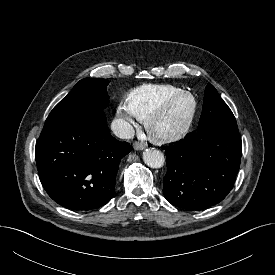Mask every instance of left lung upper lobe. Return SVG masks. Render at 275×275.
<instances>
[{"label":"left lung upper lobe","instance_id":"obj_1","mask_svg":"<svg viewBox=\"0 0 275 275\" xmlns=\"http://www.w3.org/2000/svg\"><path fill=\"white\" fill-rule=\"evenodd\" d=\"M196 132L201 135L239 134L232 111L211 84L205 89L202 114Z\"/></svg>","mask_w":275,"mask_h":275}]
</instances>
